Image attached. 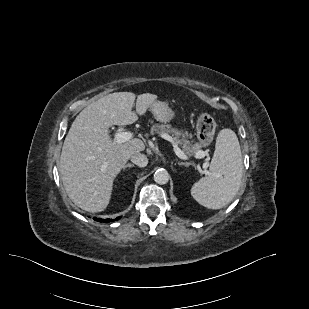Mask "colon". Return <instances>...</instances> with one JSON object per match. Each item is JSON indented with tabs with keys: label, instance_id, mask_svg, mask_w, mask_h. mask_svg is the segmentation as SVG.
Returning <instances> with one entry per match:
<instances>
[{
	"label": "colon",
	"instance_id": "colon-1",
	"mask_svg": "<svg viewBox=\"0 0 309 309\" xmlns=\"http://www.w3.org/2000/svg\"><path fill=\"white\" fill-rule=\"evenodd\" d=\"M216 131V123L214 118L207 113H203L197 120V136L201 145H209Z\"/></svg>",
	"mask_w": 309,
	"mask_h": 309
}]
</instances>
